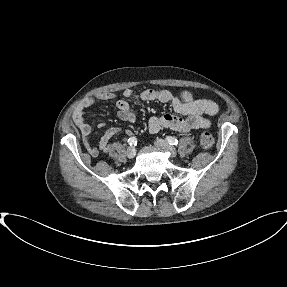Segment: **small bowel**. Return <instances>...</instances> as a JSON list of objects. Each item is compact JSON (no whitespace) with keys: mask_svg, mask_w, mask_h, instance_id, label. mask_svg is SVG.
I'll return each mask as SVG.
<instances>
[{"mask_svg":"<svg viewBox=\"0 0 287 287\" xmlns=\"http://www.w3.org/2000/svg\"><path fill=\"white\" fill-rule=\"evenodd\" d=\"M123 96L130 98L133 96V91L127 89L123 92ZM115 94L111 92H101L94 96L85 99L74 111L73 121L80 130L84 146L88 153L96 156L98 151H106L108 149L109 141L120 132L117 127L109 128L100 138L98 146L92 145L89 140L92 136V129L85 119V111L92 106L97 100H112ZM140 99L143 101H160L168 103L172 109L183 115L179 117L172 114H165L162 116H152L148 121V128L151 133H157L162 129L168 128L177 132L187 133L195 129H206L211 126L210 120L205 116H213L218 113V105L206 99H195L190 92H183L181 98L175 97L168 90H154L147 89L140 93ZM118 109V117L122 121L134 123L136 121V114L131 110L129 103L120 99L116 102ZM104 127V123L100 122L98 128ZM125 133L131 135L132 131L126 129Z\"/></svg>","mask_w":287,"mask_h":287,"instance_id":"1","label":"small bowel"}]
</instances>
